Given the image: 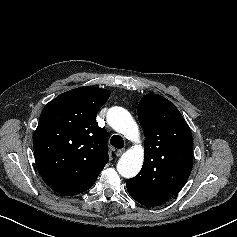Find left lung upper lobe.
<instances>
[{
    "instance_id": "left-lung-upper-lobe-1",
    "label": "left lung upper lobe",
    "mask_w": 237,
    "mask_h": 237,
    "mask_svg": "<svg viewBox=\"0 0 237 237\" xmlns=\"http://www.w3.org/2000/svg\"><path fill=\"white\" fill-rule=\"evenodd\" d=\"M137 114L145 136L144 163L138 175L126 180V187L134 200L153 207L176 195L189 178L192 134L180 111L161 95H145Z\"/></svg>"
}]
</instances>
